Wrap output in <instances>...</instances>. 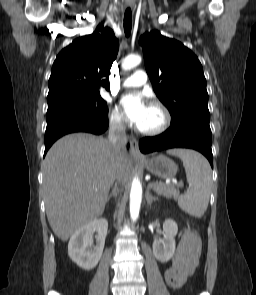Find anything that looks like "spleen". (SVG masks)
<instances>
[{"label":"spleen","mask_w":256,"mask_h":295,"mask_svg":"<svg viewBox=\"0 0 256 295\" xmlns=\"http://www.w3.org/2000/svg\"><path fill=\"white\" fill-rule=\"evenodd\" d=\"M168 153L181 158L189 184L187 192L178 199L179 207L194 217H202L208 207L212 185L208 161L193 150L176 149Z\"/></svg>","instance_id":"obj_1"}]
</instances>
